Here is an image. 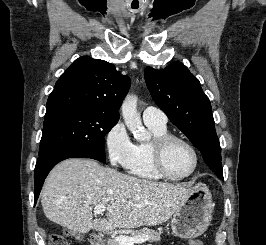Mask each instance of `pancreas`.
<instances>
[{
  "label": "pancreas",
  "mask_w": 266,
  "mask_h": 245,
  "mask_svg": "<svg viewBox=\"0 0 266 245\" xmlns=\"http://www.w3.org/2000/svg\"><path fill=\"white\" fill-rule=\"evenodd\" d=\"M139 235H147V237H150V239H148V243L161 241L160 233L152 231V229H142V231H135V233H131V237H139ZM108 245H117V243H115V241H108Z\"/></svg>",
  "instance_id": "cf45deb5"
}]
</instances>
